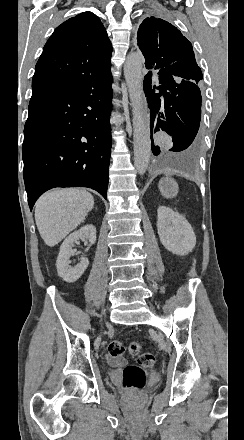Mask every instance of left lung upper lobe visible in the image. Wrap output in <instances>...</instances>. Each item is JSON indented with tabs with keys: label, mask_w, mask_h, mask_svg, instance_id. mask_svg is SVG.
Wrapping results in <instances>:
<instances>
[{
	"label": "left lung upper lobe",
	"mask_w": 244,
	"mask_h": 440,
	"mask_svg": "<svg viewBox=\"0 0 244 440\" xmlns=\"http://www.w3.org/2000/svg\"><path fill=\"white\" fill-rule=\"evenodd\" d=\"M146 68L158 75L199 83L202 72L197 65L191 43L167 21L150 17L140 25L137 35Z\"/></svg>",
	"instance_id": "obj_1"
}]
</instances>
